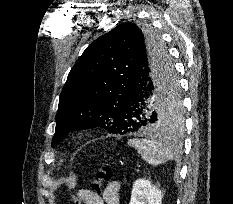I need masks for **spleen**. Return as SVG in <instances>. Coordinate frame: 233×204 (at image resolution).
I'll return each instance as SVG.
<instances>
[{
	"label": "spleen",
	"mask_w": 233,
	"mask_h": 204,
	"mask_svg": "<svg viewBox=\"0 0 233 204\" xmlns=\"http://www.w3.org/2000/svg\"><path fill=\"white\" fill-rule=\"evenodd\" d=\"M128 145L135 148L142 158L149 164L157 166L167 161L173 160L176 152L168 144L150 139H130Z\"/></svg>",
	"instance_id": "obj_1"
}]
</instances>
